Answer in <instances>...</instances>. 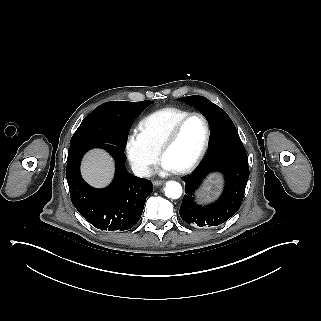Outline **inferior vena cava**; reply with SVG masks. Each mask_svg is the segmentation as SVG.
<instances>
[{
	"instance_id": "1",
	"label": "inferior vena cava",
	"mask_w": 321,
	"mask_h": 321,
	"mask_svg": "<svg viewBox=\"0 0 321 321\" xmlns=\"http://www.w3.org/2000/svg\"><path fill=\"white\" fill-rule=\"evenodd\" d=\"M131 169L134 175L138 177H150L153 174L152 170L143 164H133Z\"/></svg>"
}]
</instances>
